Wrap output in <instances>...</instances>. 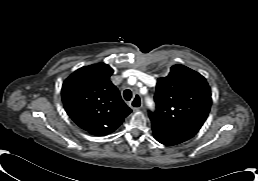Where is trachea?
Here are the masks:
<instances>
[{"label": "trachea", "mask_w": 258, "mask_h": 181, "mask_svg": "<svg viewBox=\"0 0 258 181\" xmlns=\"http://www.w3.org/2000/svg\"><path fill=\"white\" fill-rule=\"evenodd\" d=\"M123 96H124V99L129 101L131 100L132 98V92L129 90V89H126L124 92H123ZM137 106V105H135Z\"/></svg>", "instance_id": "1"}]
</instances>
